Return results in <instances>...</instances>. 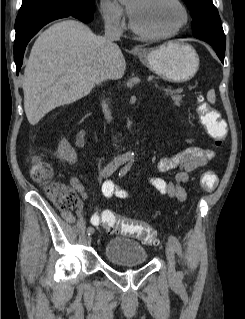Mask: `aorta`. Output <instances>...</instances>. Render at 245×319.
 Here are the masks:
<instances>
[{"label": "aorta", "instance_id": "762f6f07", "mask_svg": "<svg viewBox=\"0 0 245 319\" xmlns=\"http://www.w3.org/2000/svg\"><path fill=\"white\" fill-rule=\"evenodd\" d=\"M128 157H129V159L132 160L134 158V153L133 152H129Z\"/></svg>", "mask_w": 245, "mask_h": 319}]
</instances>
